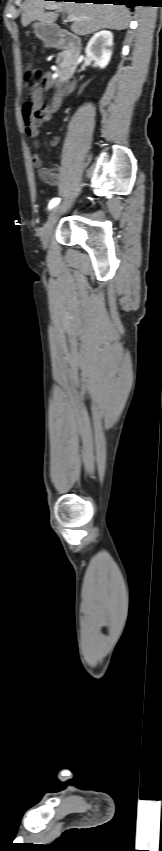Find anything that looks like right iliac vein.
<instances>
[{
	"label": "right iliac vein",
	"mask_w": 162,
	"mask_h": 851,
	"mask_svg": "<svg viewBox=\"0 0 162 851\" xmlns=\"http://www.w3.org/2000/svg\"><path fill=\"white\" fill-rule=\"evenodd\" d=\"M68 206H69V202H64L63 204L55 207L52 210V212L50 213L49 218H48V220H47V222H46V224L43 228V231H42L41 241H42V246L44 248H47V246H48L50 236L52 234V231L54 229V226H55L59 216L67 209Z\"/></svg>",
	"instance_id": "right-iliac-vein-1"
}]
</instances>
